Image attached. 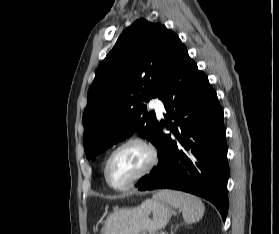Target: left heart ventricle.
<instances>
[{"mask_svg": "<svg viewBox=\"0 0 279 234\" xmlns=\"http://www.w3.org/2000/svg\"><path fill=\"white\" fill-rule=\"evenodd\" d=\"M148 159L147 151L140 145L132 144L123 148L110 163V180L115 185L129 182L143 170Z\"/></svg>", "mask_w": 279, "mask_h": 234, "instance_id": "obj_1", "label": "left heart ventricle"}]
</instances>
